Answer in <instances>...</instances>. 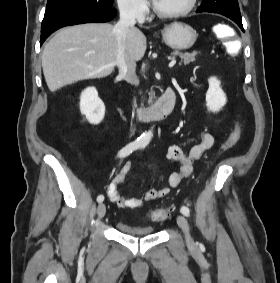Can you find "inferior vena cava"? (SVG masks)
Here are the masks:
<instances>
[{
  "mask_svg": "<svg viewBox=\"0 0 280 283\" xmlns=\"http://www.w3.org/2000/svg\"><path fill=\"white\" fill-rule=\"evenodd\" d=\"M120 18L114 27L115 34V63L119 68V74L128 83L135 86L139 84L136 75V63L131 60L126 52L127 35L131 27L136 23V10L131 3L119 5ZM134 133V130H133Z\"/></svg>",
  "mask_w": 280,
  "mask_h": 283,
  "instance_id": "inferior-vena-cava-1",
  "label": "inferior vena cava"
}]
</instances>
